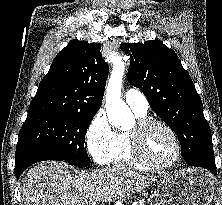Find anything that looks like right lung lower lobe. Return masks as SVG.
Here are the masks:
<instances>
[{"label":"right lung lower lobe","mask_w":222,"mask_h":205,"mask_svg":"<svg viewBox=\"0 0 222 205\" xmlns=\"http://www.w3.org/2000/svg\"><path fill=\"white\" fill-rule=\"evenodd\" d=\"M45 160H60L59 157L48 154L44 151H30L15 156V176L19 178L20 174L30 165Z\"/></svg>","instance_id":"right-lung-lower-lobe-1"}]
</instances>
